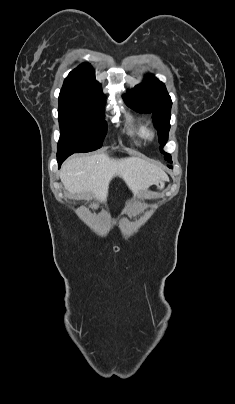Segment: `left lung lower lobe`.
I'll list each match as a JSON object with an SVG mask.
<instances>
[{
    "label": "left lung lower lobe",
    "instance_id": "1",
    "mask_svg": "<svg viewBox=\"0 0 235 404\" xmlns=\"http://www.w3.org/2000/svg\"><path fill=\"white\" fill-rule=\"evenodd\" d=\"M169 168H172V166L168 165Z\"/></svg>",
    "mask_w": 235,
    "mask_h": 404
}]
</instances>
